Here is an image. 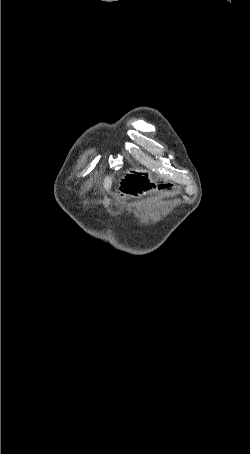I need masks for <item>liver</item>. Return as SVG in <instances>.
Listing matches in <instances>:
<instances>
[{
  "label": "liver",
  "instance_id": "6515ba94",
  "mask_svg": "<svg viewBox=\"0 0 250 454\" xmlns=\"http://www.w3.org/2000/svg\"><path fill=\"white\" fill-rule=\"evenodd\" d=\"M111 184H112V178L109 177V176L105 177V179H104V188L106 190H109V188L111 187Z\"/></svg>",
  "mask_w": 250,
  "mask_h": 454
}]
</instances>
